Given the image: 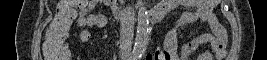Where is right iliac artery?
<instances>
[{
	"mask_svg": "<svg viewBox=\"0 0 267 60\" xmlns=\"http://www.w3.org/2000/svg\"><path fill=\"white\" fill-rule=\"evenodd\" d=\"M139 58V55L138 54H132L128 60H137Z\"/></svg>",
	"mask_w": 267,
	"mask_h": 60,
	"instance_id": "right-iliac-artery-1",
	"label": "right iliac artery"
}]
</instances>
